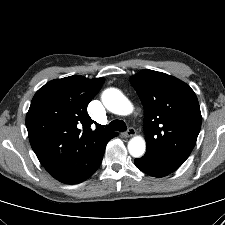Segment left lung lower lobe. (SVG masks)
Listing matches in <instances>:
<instances>
[{
    "label": "left lung lower lobe",
    "instance_id": "0a47b994",
    "mask_svg": "<svg viewBox=\"0 0 225 225\" xmlns=\"http://www.w3.org/2000/svg\"><path fill=\"white\" fill-rule=\"evenodd\" d=\"M134 162L138 169L158 178L169 175L182 165L150 150H146L145 155Z\"/></svg>",
    "mask_w": 225,
    "mask_h": 225
}]
</instances>
